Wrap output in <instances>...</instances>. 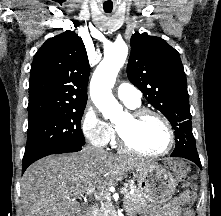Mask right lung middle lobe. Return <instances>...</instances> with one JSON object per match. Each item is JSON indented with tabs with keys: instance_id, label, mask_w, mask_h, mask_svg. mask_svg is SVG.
<instances>
[{
	"instance_id": "dd1d6c3e",
	"label": "right lung middle lobe",
	"mask_w": 221,
	"mask_h": 216,
	"mask_svg": "<svg viewBox=\"0 0 221 216\" xmlns=\"http://www.w3.org/2000/svg\"><path fill=\"white\" fill-rule=\"evenodd\" d=\"M86 105L62 109L29 119L23 163L68 146H83L81 118Z\"/></svg>"
}]
</instances>
